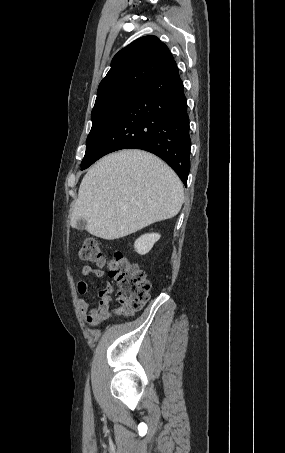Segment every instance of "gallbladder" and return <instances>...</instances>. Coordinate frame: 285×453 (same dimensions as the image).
Wrapping results in <instances>:
<instances>
[{
	"label": "gallbladder",
	"mask_w": 285,
	"mask_h": 453,
	"mask_svg": "<svg viewBox=\"0 0 285 453\" xmlns=\"http://www.w3.org/2000/svg\"><path fill=\"white\" fill-rule=\"evenodd\" d=\"M85 226H86V221L84 219H79L77 222L76 228L78 230H83V229H85Z\"/></svg>",
	"instance_id": "1"
}]
</instances>
